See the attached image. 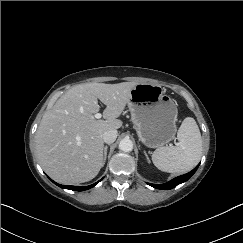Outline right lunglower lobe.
<instances>
[{
	"instance_id": "98d812e1",
	"label": "right lung lower lobe",
	"mask_w": 243,
	"mask_h": 243,
	"mask_svg": "<svg viewBox=\"0 0 243 243\" xmlns=\"http://www.w3.org/2000/svg\"><path fill=\"white\" fill-rule=\"evenodd\" d=\"M101 180H99L98 182H100ZM52 182H54V181H52ZM98 182H96L95 184L89 185V186H69V185H60V184H57L55 182L54 183L56 185H58L59 187L64 188V189H70V190H74V191H84V190H87V189L94 187Z\"/></svg>"
}]
</instances>
